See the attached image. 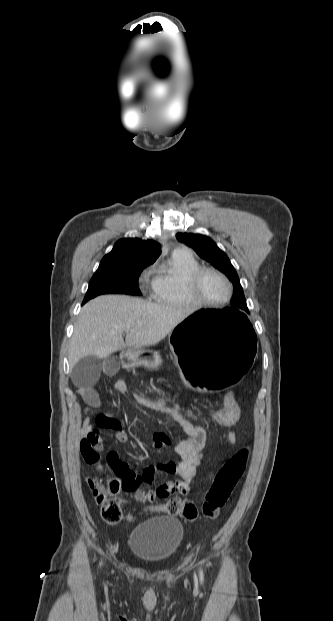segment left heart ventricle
<instances>
[{
    "mask_svg": "<svg viewBox=\"0 0 333 621\" xmlns=\"http://www.w3.org/2000/svg\"><path fill=\"white\" fill-rule=\"evenodd\" d=\"M198 292L206 300L220 301L227 296L228 288L219 276L207 273L199 282Z\"/></svg>",
    "mask_w": 333,
    "mask_h": 621,
    "instance_id": "obj_1",
    "label": "left heart ventricle"
}]
</instances>
